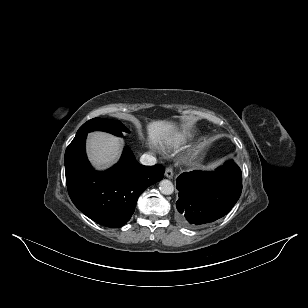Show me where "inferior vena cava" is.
<instances>
[{"label": "inferior vena cava", "instance_id": "inferior-vena-cava-1", "mask_svg": "<svg viewBox=\"0 0 308 308\" xmlns=\"http://www.w3.org/2000/svg\"><path fill=\"white\" fill-rule=\"evenodd\" d=\"M140 163L146 166H152L157 163V160L154 156L150 154H143L140 158Z\"/></svg>", "mask_w": 308, "mask_h": 308}]
</instances>
